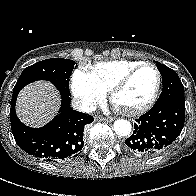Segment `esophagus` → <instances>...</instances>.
Returning <instances> with one entry per match:
<instances>
[{"instance_id":"esophagus-1","label":"esophagus","mask_w":196,"mask_h":196,"mask_svg":"<svg viewBox=\"0 0 196 196\" xmlns=\"http://www.w3.org/2000/svg\"><path fill=\"white\" fill-rule=\"evenodd\" d=\"M97 120L111 122L113 119L110 117H97Z\"/></svg>"}]
</instances>
